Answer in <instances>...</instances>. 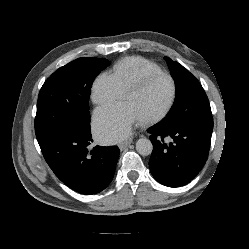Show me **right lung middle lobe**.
<instances>
[{
  "mask_svg": "<svg viewBox=\"0 0 249 249\" xmlns=\"http://www.w3.org/2000/svg\"><path fill=\"white\" fill-rule=\"evenodd\" d=\"M108 60L78 58L56 70L43 84L37 101V140L62 130L88 129L89 96L95 77Z\"/></svg>",
  "mask_w": 249,
  "mask_h": 249,
  "instance_id": "right-lung-middle-lobe-1",
  "label": "right lung middle lobe"
}]
</instances>
